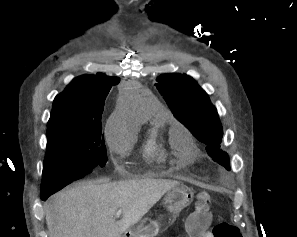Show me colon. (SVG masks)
Segmentation results:
<instances>
[{
	"label": "colon",
	"mask_w": 297,
	"mask_h": 237,
	"mask_svg": "<svg viewBox=\"0 0 297 237\" xmlns=\"http://www.w3.org/2000/svg\"><path fill=\"white\" fill-rule=\"evenodd\" d=\"M212 197L207 192L197 194L196 212L189 219L187 227L191 237H202L211 221ZM214 237H242L240 230L227 222L217 224L213 229Z\"/></svg>",
	"instance_id": "obj_1"
}]
</instances>
